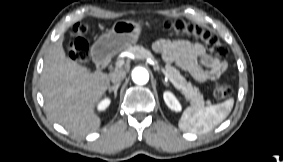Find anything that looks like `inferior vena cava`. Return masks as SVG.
Here are the masks:
<instances>
[{
    "mask_svg": "<svg viewBox=\"0 0 283 162\" xmlns=\"http://www.w3.org/2000/svg\"><path fill=\"white\" fill-rule=\"evenodd\" d=\"M126 72L123 70H119L114 72L111 76V81L114 85L120 84L121 81L125 78Z\"/></svg>",
    "mask_w": 283,
    "mask_h": 162,
    "instance_id": "602c4592",
    "label": "inferior vena cava"
}]
</instances>
